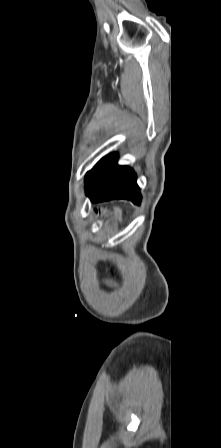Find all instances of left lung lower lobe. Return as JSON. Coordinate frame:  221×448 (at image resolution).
<instances>
[{"mask_svg":"<svg viewBox=\"0 0 221 448\" xmlns=\"http://www.w3.org/2000/svg\"><path fill=\"white\" fill-rule=\"evenodd\" d=\"M117 155L103 158L85 178L86 194L92 202L127 199L140 204L141 195L135 172L127 166H119Z\"/></svg>","mask_w":221,"mask_h":448,"instance_id":"0a47b994","label":"left lung lower lobe"}]
</instances>
